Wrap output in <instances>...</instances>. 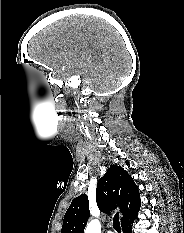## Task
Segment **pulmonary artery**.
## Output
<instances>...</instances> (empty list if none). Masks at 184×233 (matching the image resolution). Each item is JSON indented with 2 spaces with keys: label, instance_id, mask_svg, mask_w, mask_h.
I'll use <instances>...</instances> for the list:
<instances>
[{
  "label": "pulmonary artery",
  "instance_id": "obj_1",
  "mask_svg": "<svg viewBox=\"0 0 184 233\" xmlns=\"http://www.w3.org/2000/svg\"><path fill=\"white\" fill-rule=\"evenodd\" d=\"M107 233H114V231H112V230H109Z\"/></svg>",
  "mask_w": 184,
  "mask_h": 233
}]
</instances>
